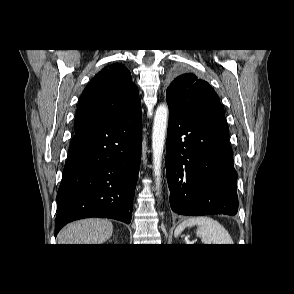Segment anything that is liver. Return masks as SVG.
<instances>
[{
	"mask_svg": "<svg viewBox=\"0 0 294 294\" xmlns=\"http://www.w3.org/2000/svg\"><path fill=\"white\" fill-rule=\"evenodd\" d=\"M113 233L109 220L82 219L68 224L58 235V244H103Z\"/></svg>",
	"mask_w": 294,
	"mask_h": 294,
	"instance_id": "1",
	"label": "liver"
}]
</instances>
